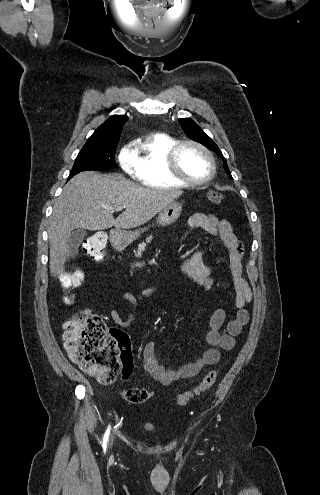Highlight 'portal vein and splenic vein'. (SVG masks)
<instances>
[{
  "instance_id": "1",
  "label": "portal vein and splenic vein",
  "mask_w": 320,
  "mask_h": 495,
  "mask_svg": "<svg viewBox=\"0 0 320 495\" xmlns=\"http://www.w3.org/2000/svg\"><path fill=\"white\" fill-rule=\"evenodd\" d=\"M124 208H125V207H116V208H114V209H113V211H121V210H123Z\"/></svg>"
}]
</instances>
